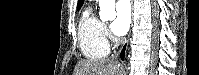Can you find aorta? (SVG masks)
Wrapping results in <instances>:
<instances>
[{
  "label": "aorta",
  "instance_id": "762f6f07",
  "mask_svg": "<svg viewBox=\"0 0 199 75\" xmlns=\"http://www.w3.org/2000/svg\"><path fill=\"white\" fill-rule=\"evenodd\" d=\"M100 19L102 21L113 20L116 17L115 0H99Z\"/></svg>",
  "mask_w": 199,
  "mask_h": 75
}]
</instances>
